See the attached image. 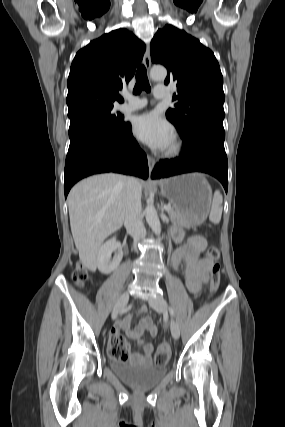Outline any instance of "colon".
<instances>
[{"label":"colon","instance_id":"5ec220e1","mask_svg":"<svg viewBox=\"0 0 285 427\" xmlns=\"http://www.w3.org/2000/svg\"><path fill=\"white\" fill-rule=\"evenodd\" d=\"M208 257L212 264L210 267V289L212 293H215L221 281V265L219 262L220 251L216 245H212L208 249ZM73 278L78 286H82L89 280V273L87 269L82 265L78 264L73 273ZM110 355L118 362L124 363L128 360L130 350L127 341L122 337H113L110 341ZM170 356V346L163 343L159 346L155 356L154 363L158 367L166 365Z\"/></svg>","mask_w":285,"mask_h":427}]
</instances>
